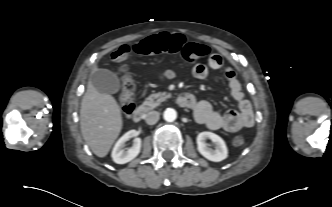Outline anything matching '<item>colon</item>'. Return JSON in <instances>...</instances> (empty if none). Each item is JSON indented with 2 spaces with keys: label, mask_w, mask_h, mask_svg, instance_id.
I'll use <instances>...</instances> for the list:
<instances>
[{
  "label": "colon",
  "mask_w": 332,
  "mask_h": 207,
  "mask_svg": "<svg viewBox=\"0 0 332 207\" xmlns=\"http://www.w3.org/2000/svg\"><path fill=\"white\" fill-rule=\"evenodd\" d=\"M179 54L186 62L192 63L199 58L209 54L206 45L189 42L182 34L160 33L150 36L145 40L133 45L124 44L116 49L112 54V59L118 64V69L122 74V93L120 96L121 109L126 115H130L135 108V82L130 75L124 62L132 54H152V53ZM235 144L241 145L244 137L239 135L235 138Z\"/></svg>",
  "instance_id": "1"
}]
</instances>
